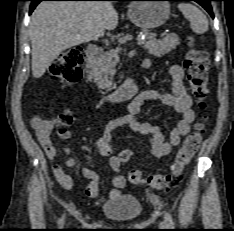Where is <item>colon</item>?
Segmentation results:
<instances>
[{
  "mask_svg": "<svg viewBox=\"0 0 234 231\" xmlns=\"http://www.w3.org/2000/svg\"><path fill=\"white\" fill-rule=\"evenodd\" d=\"M187 44L189 49L185 57L184 67L188 72V81L192 92L199 103V107L203 109L205 107V98L208 94L209 58L207 52L200 47L194 37H188ZM83 58L84 52L79 46L65 50L53 62L51 75L66 84L77 83L82 77L80 66ZM70 122L71 117L69 115H62L59 119L61 125L69 124ZM59 133L64 135L65 130L61 128ZM203 133L204 124L199 122L187 135L179 148L169 173L145 176L139 170H132L129 173V181L136 185L145 184L153 191L168 187L174 178L183 172L198 151L203 140ZM132 157L133 152L129 149H124L119 154V159L123 163L129 162Z\"/></svg>",
  "mask_w": 234,
  "mask_h": 231,
  "instance_id": "1",
  "label": "colon"
}]
</instances>
